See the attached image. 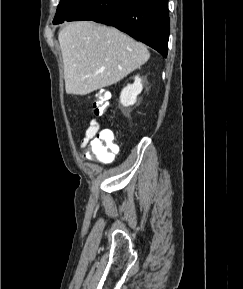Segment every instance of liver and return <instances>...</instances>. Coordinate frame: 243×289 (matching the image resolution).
<instances>
[{
  "label": "liver",
  "mask_w": 243,
  "mask_h": 289,
  "mask_svg": "<svg viewBox=\"0 0 243 289\" xmlns=\"http://www.w3.org/2000/svg\"><path fill=\"white\" fill-rule=\"evenodd\" d=\"M67 94L87 95L113 85L147 62V47L91 21L65 26L58 35Z\"/></svg>",
  "instance_id": "1"
}]
</instances>
